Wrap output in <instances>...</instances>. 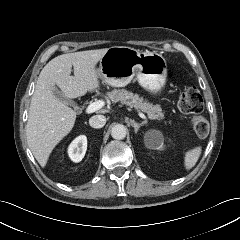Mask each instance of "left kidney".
<instances>
[{
  "instance_id": "5707ae66",
  "label": "left kidney",
  "mask_w": 240,
  "mask_h": 240,
  "mask_svg": "<svg viewBox=\"0 0 240 240\" xmlns=\"http://www.w3.org/2000/svg\"><path fill=\"white\" fill-rule=\"evenodd\" d=\"M145 145L149 149L160 150L163 148L164 139L161 132L152 130L146 133Z\"/></svg>"
}]
</instances>
